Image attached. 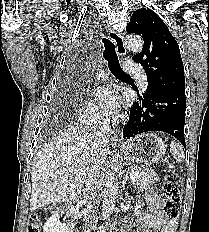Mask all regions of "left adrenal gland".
Here are the masks:
<instances>
[{
    "mask_svg": "<svg viewBox=\"0 0 209 232\" xmlns=\"http://www.w3.org/2000/svg\"><path fill=\"white\" fill-rule=\"evenodd\" d=\"M128 180H129V176H128V173L126 172L124 177H123V180H122V186H125L126 181H128Z\"/></svg>",
    "mask_w": 209,
    "mask_h": 232,
    "instance_id": "1",
    "label": "left adrenal gland"
}]
</instances>
